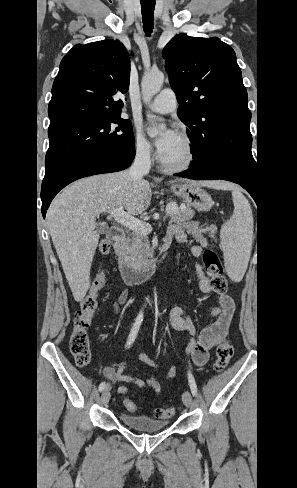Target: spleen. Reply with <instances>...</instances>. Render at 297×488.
I'll return each mask as SVG.
<instances>
[{"label": "spleen", "instance_id": "1", "mask_svg": "<svg viewBox=\"0 0 297 488\" xmlns=\"http://www.w3.org/2000/svg\"><path fill=\"white\" fill-rule=\"evenodd\" d=\"M234 212L221 227L220 238L228 276L240 282L248 267L253 242V216L246 197L232 188Z\"/></svg>", "mask_w": 297, "mask_h": 488}]
</instances>
